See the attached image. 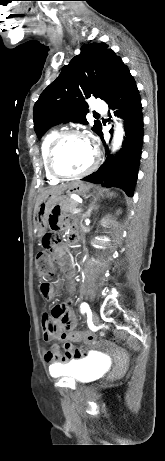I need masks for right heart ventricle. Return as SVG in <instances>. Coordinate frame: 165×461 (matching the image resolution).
Masks as SVG:
<instances>
[{
	"instance_id": "1",
	"label": "right heart ventricle",
	"mask_w": 165,
	"mask_h": 461,
	"mask_svg": "<svg viewBox=\"0 0 165 461\" xmlns=\"http://www.w3.org/2000/svg\"><path fill=\"white\" fill-rule=\"evenodd\" d=\"M58 135V133L56 131H52L50 133H48L42 143H41V155H42V160H43V166H44V170H45V175H46V178H47V181L51 184H56L59 179L52 176L48 169H47V166H46V158H47V152H48V149H49V146L51 144V142L54 140V138Z\"/></svg>"
}]
</instances>
